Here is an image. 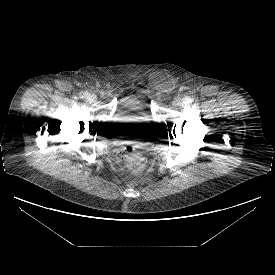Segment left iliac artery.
Segmentation results:
<instances>
[{"label": "left iliac artery", "instance_id": "obj_1", "mask_svg": "<svg viewBox=\"0 0 275 275\" xmlns=\"http://www.w3.org/2000/svg\"><path fill=\"white\" fill-rule=\"evenodd\" d=\"M185 102H186V103H190V102H191V98H190V97H186V98H185Z\"/></svg>", "mask_w": 275, "mask_h": 275}]
</instances>
